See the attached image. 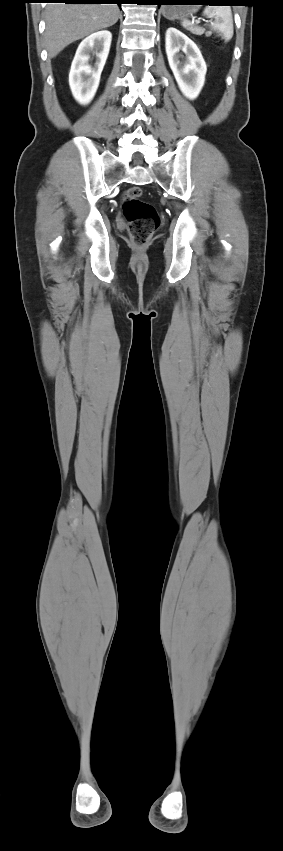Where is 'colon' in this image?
I'll list each match as a JSON object with an SVG mask.
<instances>
[{"mask_svg":"<svg viewBox=\"0 0 283 851\" xmlns=\"http://www.w3.org/2000/svg\"><path fill=\"white\" fill-rule=\"evenodd\" d=\"M223 46L221 38L216 39ZM142 189L138 186L128 188L122 196L123 214L128 222V230L134 245L143 247L159 225V215L155 207L140 200Z\"/></svg>","mask_w":283,"mask_h":851,"instance_id":"1","label":"colon"}]
</instances>
